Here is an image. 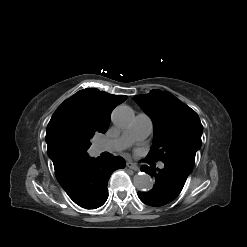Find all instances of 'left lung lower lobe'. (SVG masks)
<instances>
[{
	"instance_id": "1",
	"label": "left lung lower lobe",
	"mask_w": 247,
	"mask_h": 247,
	"mask_svg": "<svg viewBox=\"0 0 247 247\" xmlns=\"http://www.w3.org/2000/svg\"><path fill=\"white\" fill-rule=\"evenodd\" d=\"M163 169H155L153 165L141 167L143 172L155 177L156 184L149 192H138L140 200L151 206H162L173 201L181 192L188 173L172 164H164Z\"/></svg>"
}]
</instances>
